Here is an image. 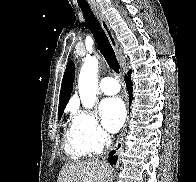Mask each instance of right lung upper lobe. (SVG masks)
<instances>
[{
	"label": "right lung upper lobe",
	"instance_id": "obj_1",
	"mask_svg": "<svg viewBox=\"0 0 196 182\" xmlns=\"http://www.w3.org/2000/svg\"><path fill=\"white\" fill-rule=\"evenodd\" d=\"M74 73H75V66L72 61H69L66 66V70H65L63 80H62L60 98H59L58 115L63 114L64 109L70 99L73 81H74Z\"/></svg>",
	"mask_w": 196,
	"mask_h": 182
}]
</instances>
